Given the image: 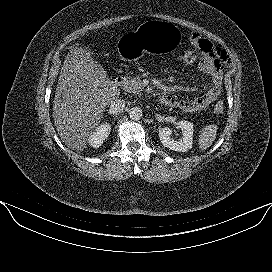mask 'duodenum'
Segmentation results:
<instances>
[{"mask_svg":"<svg viewBox=\"0 0 272 272\" xmlns=\"http://www.w3.org/2000/svg\"><path fill=\"white\" fill-rule=\"evenodd\" d=\"M124 81H125V78L122 75H118L115 78V84L118 86H121L124 83ZM159 102L166 105L169 102V98L166 95L160 96Z\"/></svg>","mask_w":272,"mask_h":272,"instance_id":"duodenum-1","label":"duodenum"}]
</instances>
